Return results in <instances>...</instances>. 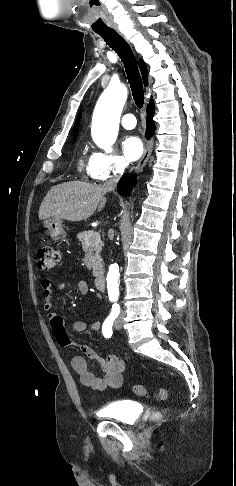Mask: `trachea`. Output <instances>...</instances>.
<instances>
[{
	"label": "trachea",
	"instance_id": "obj_1",
	"mask_svg": "<svg viewBox=\"0 0 236 486\" xmlns=\"http://www.w3.org/2000/svg\"><path fill=\"white\" fill-rule=\"evenodd\" d=\"M111 47L122 60L127 78L137 107L144 103L142 79L138 70L136 58L127 42L112 28L96 32Z\"/></svg>",
	"mask_w": 236,
	"mask_h": 486
}]
</instances>
